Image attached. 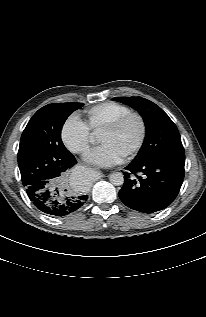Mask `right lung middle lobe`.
Listing matches in <instances>:
<instances>
[{"label":"right lung middle lobe","instance_id":"1","mask_svg":"<svg viewBox=\"0 0 206 317\" xmlns=\"http://www.w3.org/2000/svg\"><path fill=\"white\" fill-rule=\"evenodd\" d=\"M82 106V103L75 102L53 103L39 109L30 119L18 151L22 182L55 171L61 163L59 160L71 156L62 143L61 130L68 116ZM68 170L56 175V185L65 184Z\"/></svg>","mask_w":206,"mask_h":317}]
</instances>
